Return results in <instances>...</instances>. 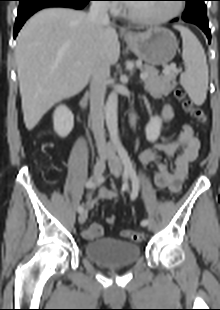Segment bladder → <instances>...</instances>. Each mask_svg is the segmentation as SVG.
I'll return each instance as SVG.
<instances>
[{
  "label": "bladder",
  "mask_w": 220,
  "mask_h": 310,
  "mask_svg": "<svg viewBox=\"0 0 220 310\" xmlns=\"http://www.w3.org/2000/svg\"><path fill=\"white\" fill-rule=\"evenodd\" d=\"M85 256L101 266H129L140 258V246L114 238H100L84 245Z\"/></svg>",
  "instance_id": "obj_1"
}]
</instances>
